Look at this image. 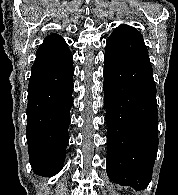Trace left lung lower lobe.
I'll return each instance as SVG.
<instances>
[{
  "mask_svg": "<svg viewBox=\"0 0 178 195\" xmlns=\"http://www.w3.org/2000/svg\"><path fill=\"white\" fill-rule=\"evenodd\" d=\"M107 163L110 180L146 188L158 149L156 85L149 67L104 55Z\"/></svg>",
  "mask_w": 178,
  "mask_h": 195,
  "instance_id": "0a47b994",
  "label": "left lung lower lobe"
}]
</instances>
